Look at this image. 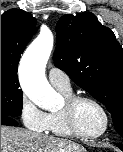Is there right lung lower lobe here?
I'll return each instance as SVG.
<instances>
[{"label":"right lung lower lobe","instance_id":"98d812e1","mask_svg":"<svg viewBox=\"0 0 123 152\" xmlns=\"http://www.w3.org/2000/svg\"><path fill=\"white\" fill-rule=\"evenodd\" d=\"M1 125L17 126L18 123L11 117L1 116Z\"/></svg>","mask_w":123,"mask_h":152}]
</instances>
